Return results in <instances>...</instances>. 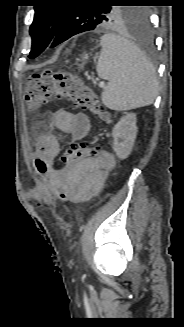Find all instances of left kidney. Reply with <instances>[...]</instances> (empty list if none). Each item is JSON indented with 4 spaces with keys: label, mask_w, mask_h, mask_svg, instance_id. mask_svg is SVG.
Segmentation results:
<instances>
[{
    "label": "left kidney",
    "mask_w": 184,
    "mask_h": 327,
    "mask_svg": "<svg viewBox=\"0 0 184 327\" xmlns=\"http://www.w3.org/2000/svg\"><path fill=\"white\" fill-rule=\"evenodd\" d=\"M113 149L120 159H126L134 146L137 135L136 115L127 113L114 126L113 131Z\"/></svg>",
    "instance_id": "left-kidney-1"
}]
</instances>
